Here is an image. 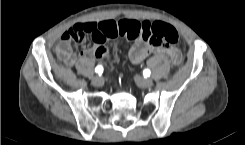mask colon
<instances>
[{"mask_svg": "<svg viewBox=\"0 0 245 145\" xmlns=\"http://www.w3.org/2000/svg\"><path fill=\"white\" fill-rule=\"evenodd\" d=\"M88 35H95L91 25L85 23H76L69 27L64 38L83 40ZM141 35L145 40L154 45L175 46L180 41V36L177 29L169 24L159 21L153 23H145L140 25L135 21H122L119 23L117 30H112L109 33L110 38L121 36L126 42H131ZM69 51L66 48L61 50V58H67ZM181 63V57L178 52L174 53L173 64L178 66Z\"/></svg>", "mask_w": 245, "mask_h": 145, "instance_id": "colon-1", "label": "colon"}]
</instances>
